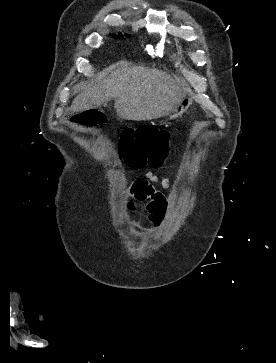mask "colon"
<instances>
[{
    "label": "colon",
    "mask_w": 276,
    "mask_h": 363,
    "mask_svg": "<svg viewBox=\"0 0 276 363\" xmlns=\"http://www.w3.org/2000/svg\"><path fill=\"white\" fill-rule=\"evenodd\" d=\"M84 124H95L101 117L88 110L79 115ZM169 133L154 127L125 129L121 132L120 150L134 168L158 167L169 155Z\"/></svg>",
    "instance_id": "5ec220e1"
}]
</instances>
